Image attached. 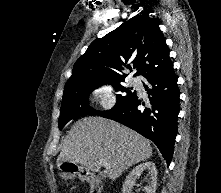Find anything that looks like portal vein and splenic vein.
Wrapping results in <instances>:
<instances>
[{
  "label": "portal vein and splenic vein",
  "mask_w": 221,
  "mask_h": 193,
  "mask_svg": "<svg viewBox=\"0 0 221 193\" xmlns=\"http://www.w3.org/2000/svg\"><path fill=\"white\" fill-rule=\"evenodd\" d=\"M99 164L104 166L106 169H110L111 166L105 160H99Z\"/></svg>",
  "instance_id": "18ae733b"
}]
</instances>
